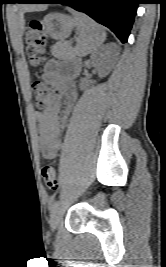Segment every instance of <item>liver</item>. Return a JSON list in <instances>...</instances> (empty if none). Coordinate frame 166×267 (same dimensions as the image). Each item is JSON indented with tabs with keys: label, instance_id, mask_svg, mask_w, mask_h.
<instances>
[{
	"label": "liver",
	"instance_id": "6515ba94",
	"mask_svg": "<svg viewBox=\"0 0 166 267\" xmlns=\"http://www.w3.org/2000/svg\"><path fill=\"white\" fill-rule=\"evenodd\" d=\"M38 9H46V6H26L22 9V11H20V22H21V27H24V20H23V14L26 11H34V10H38Z\"/></svg>",
	"mask_w": 166,
	"mask_h": 267
}]
</instances>
